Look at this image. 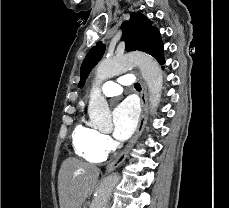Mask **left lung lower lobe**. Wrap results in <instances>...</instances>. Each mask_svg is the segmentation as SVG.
I'll use <instances>...</instances> for the list:
<instances>
[{
    "label": "left lung lower lobe",
    "instance_id": "1",
    "mask_svg": "<svg viewBox=\"0 0 229 208\" xmlns=\"http://www.w3.org/2000/svg\"><path fill=\"white\" fill-rule=\"evenodd\" d=\"M159 63L162 65V64H164V63H165V61H161V62H159Z\"/></svg>",
    "mask_w": 229,
    "mask_h": 208
}]
</instances>
